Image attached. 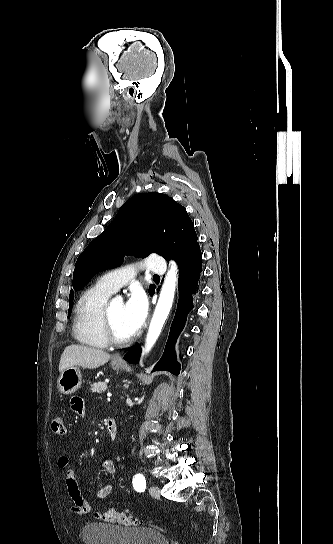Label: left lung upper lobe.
Masks as SVG:
<instances>
[{
  "label": "left lung upper lobe",
  "mask_w": 333,
  "mask_h": 544,
  "mask_svg": "<svg viewBox=\"0 0 333 544\" xmlns=\"http://www.w3.org/2000/svg\"><path fill=\"white\" fill-rule=\"evenodd\" d=\"M194 224L186 209L168 195L152 192L133 196L113 222L79 256L73 273L75 290L98 272L115 267L125 255L143 257L157 253L177 263L199 246ZM155 291L150 285L149 294ZM70 308L74 293L70 292Z\"/></svg>",
  "instance_id": "obj_1"
}]
</instances>
